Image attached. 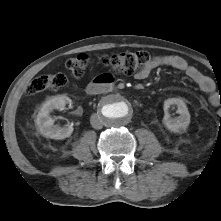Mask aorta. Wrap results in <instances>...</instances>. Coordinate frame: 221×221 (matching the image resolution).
<instances>
[{"mask_svg":"<svg viewBox=\"0 0 221 221\" xmlns=\"http://www.w3.org/2000/svg\"><path fill=\"white\" fill-rule=\"evenodd\" d=\"M100 115L106 125L119 127L130 121L132 105L124 96L112 95L102 102Z\"/></svg>","mask_w":221,"mask_h":221,"instance_id":"obj_1","label":"aorta"}]
</instances>
